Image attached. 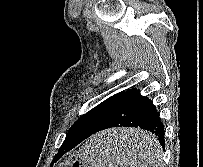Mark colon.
Instances as JSON below:
<instances>
[{
  "label": "colon",
  "mask_w": 203,
  "mask_h": 167,
  "mask_svg": "<svg viewBox=\"0 0 203 167\" xmlns=\"http://www.w3.org/2000/svg\"><path fill=\"white\" fill-rule=\"evenodd\" d=\"M61 167H66V166H61ZM70 167H89L83 164L82 162L78 160H71L70 161Z\"/></svg>",
  "instance_id": "1"
}]
</instances>
